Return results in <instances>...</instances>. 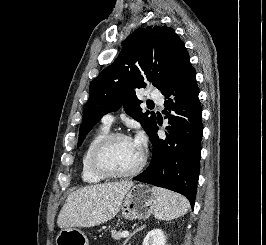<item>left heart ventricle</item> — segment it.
<instances>
[{
  "label": "left heart ventricle",
  "mask_w": 266,
  "mask_h": 245,
  "mask_svg": "<svg viewBox=\"0 0 266 245\" xmlns=\"http://www.w3.org/2000/svg\"><path fill=\"white\" fill-rule=\"evenodd\" d=\"M140 149L131 139L114 140L104 154V165L112 172L122 174L133 170L138 164Z\"/></svg>",
  "instance_id": "1"
}]
</instances>
